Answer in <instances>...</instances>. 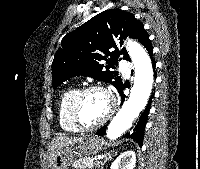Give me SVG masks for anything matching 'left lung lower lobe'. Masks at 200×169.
I'll list each match as a JSON object with an SVG mask.
<instances>
[{"label": "left lung lower lobe", "mask_w": 200, "mask_h": 169, "mask_svg": "<svg viewBox=\"0 0 200 169\" xmlns=\"http://www.w3.org/2000/svg\"><path fill=\"white\" fill-rule=\"evenodd\" d=\"M146 50L148 51L151 59H152V65L153 67L156 66V62L153 60V47L151 45L150 42H148L146 44ZM125 88V84H122V86L118 89L119 94L121 95L122 101H124L125 99V95L123 94V90ZM150 105H151V101H149L148 105L146 106V109L144 110V112L142 113L141 117L139 118V121L137 123V125L135 126V128L127 133L124 137L127 138H132L133 140H135L140 146H142L143 143V134H144V130H145V125H146V119L148 117V113L150 111ZM106 133V126H103L101 129H99L97 131V135L103 136Z\"/></svg>", "instance_id": "left-lung-lower-lobe-1"}]
</instances>
